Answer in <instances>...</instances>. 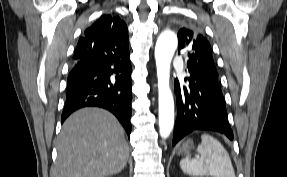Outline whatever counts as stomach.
<instances>
[{"mask_svg":"<svg viewBox=\"0 0 287 177\" xmlns=\"http://www.w3.org/2000/svg\"><path fill=\"white\" fill-rule=\"evenodd\" d=\"M193 146V142L191 139L186 140L182 146L180 147L178 154L182 155V154H187L189 152V150L192 148Z\"/></svg>","mask_w":287,"mask_h":177,"instance_id":"stomach-1","label":"stomach"}]
</instances>
